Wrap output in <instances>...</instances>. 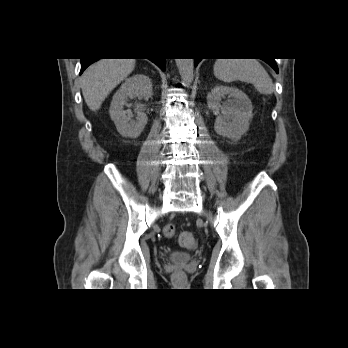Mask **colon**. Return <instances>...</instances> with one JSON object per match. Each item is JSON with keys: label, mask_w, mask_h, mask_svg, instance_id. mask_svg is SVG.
Here are the masks:
<instances>
[{"label": "colon", "mask_w": 348, "mask_h": 348, "mask_svg": "<svg viewBox=\"0 0 348 348\" xmlns=\"http://www.w3.org/2000/svg\"><path fill=\"white\" fill-rule=\"evenodd\" d=\"M164 234L167 237H172L175 235V227L172 224H168L164 227ZM179 242L180 244L187 248L192 249L196 245V238L195 236L190 232H184L179 236ZM177 275H181L180 272H177Z\"/></svg>", "instance_id": "5ec220e1"}]
</instances>
